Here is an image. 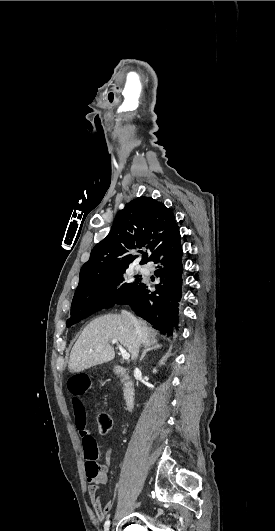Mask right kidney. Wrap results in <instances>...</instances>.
<instances>
[{"instance_id":"1","label":"right kidney","mask_w":275,"mask_h":531,"mask_svg":"<svg viewBox=\"0 0 275 531\" xmlns=\"http://www.w3.org/2000/svg\"><path fill=\"white\" fill-rule=\"evenodd\" d=\"M153 373H157L156 369H154Z\"/></svg>"}]
</instances>
